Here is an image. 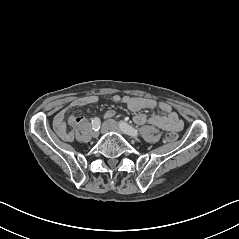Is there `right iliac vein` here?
<instances>
[{
  "mask_svg": "<svg viewBox=\"0 0 239 239\" xmlns=\"http://www.w3.org/2000/svg\"><path fill=\"white\" fill-rule=\"evenodd\" d=\"M109 130L108 124L105 122L101 128V134H105Z\"/></svg>",
  "mask_w": 239,
  "mask_h": 239,
  "instance_id": "right-iliac-vein-1",
  "label": "right iliac vein"
}]
</instances>
